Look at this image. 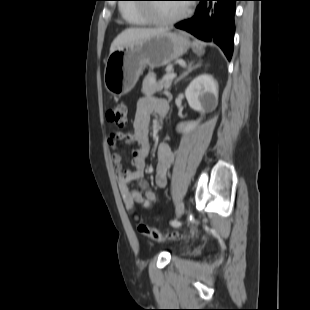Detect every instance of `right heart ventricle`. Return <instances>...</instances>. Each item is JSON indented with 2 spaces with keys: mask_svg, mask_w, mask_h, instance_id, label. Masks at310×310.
<instances>
[{
  "mask_svg": "<svg viewBox=\"0 0 310 310\" xmlns=\"http://www.w3.org/2000/svg\"><path fill=\"white\" fill-rule=\"evenodd\" d=\"M120 13L125 21L132 26H142L151 22L143 10L135 5L122 4Z\"/></svg>",
  "mask_w": 310,
  "mask_h": 310,
  "instance_id": "1",
  "label": "right heart ventricle"
}]
</instances>
